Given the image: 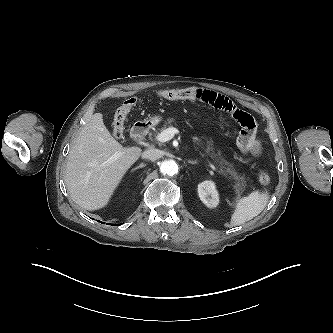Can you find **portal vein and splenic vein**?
Returning <instances> with one entry per match:
<instances>
[{
    "label": "portal vein and splenic vein",
    "instance_id": "portal-vein-and-splenic-vein-1",
    "mask_svg": "<svg viewBox=\"0 0 333 333\" xmlns=\"http://www.w3.org/2000/svg\"><path fill=\"white\" fill-rule=\"evenodd\" d=\"M179 130L174 128V127H170L167 128L166 130L162 131L158 136H157V140L160 142H166L171 140L175 134H178ZM117 156L114 157V159H116ZM211 168H213V166L211 165Z\"/></svg>",
    "mask_w": 333,
    "mask_h": 333
}]
</instances>
